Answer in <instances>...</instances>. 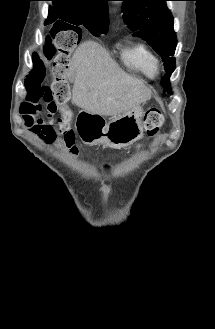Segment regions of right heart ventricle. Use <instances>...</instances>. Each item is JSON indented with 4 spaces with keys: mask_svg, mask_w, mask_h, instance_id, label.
<instances>
[{
    "mask_svg": "<svg viewBox=\"0 0 215 329\" xmlns=\"http://www.w3.org/2000/svg\"><path fill=\"white\" fill-rule=\"evenodd\" d=\"M123 65L131 72L149 79L159 74L160 63L156 53L144 42L137 41L125 47L120 55Z\"/></svg>",
    "mask_w": 215,
    "mask_h": 329,
    "instance_id": "1",
    "label": "right heart ventricle"
}]
</instances>
